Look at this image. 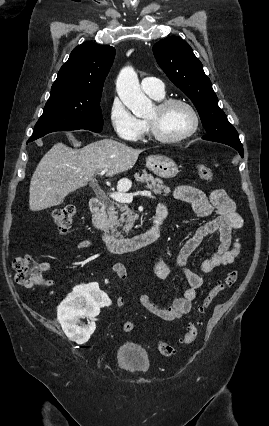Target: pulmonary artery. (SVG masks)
I'll use <instances>...</instances> for the list:
<instances>
[{
    "label": "pulmonary artery",
    "mask_w": 269,
    "mask_h": 426,
    "mask_svg": "<svg viewBox=\"0 0 269 426\" xmlns=\"http://www.w3.org/2000/svg\"><path fill=\"white\" fill-rule=\"evenodd\" d=\"M141 87L145 93L152 97L160 98L165 94L164 84L154 77H145L141 81Z\"/></svg>",
    "instance_id": "pulmonary-artery-1"
}]
</instances>
